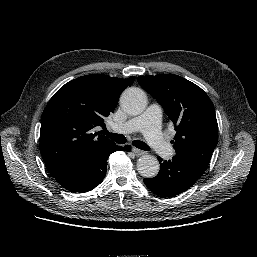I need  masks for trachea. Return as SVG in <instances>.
Returning a JSON list of instances; mask_svg holds the SVG:
<instances>
[{
    "label": "trachea",
    "instance_id": "obj_1",
    "mask_svg": "<svg viewBox=\"0 0 257 257\" xmlns=\"http://www.w3.org/2000/svg\"><path fill=\"white\" fill-rule=\"evenodd\" d=\"M103 134H105L107 137H109L118 144L126 143V137L122 134L109 133L107 130H104ZM133 145L141 150H150L149 146L140 140L133 141Z\"/></svg>",
    "mask_w": 257,
    "mask_h": 257
}]
</instances>
